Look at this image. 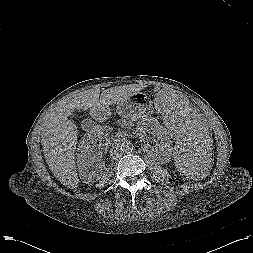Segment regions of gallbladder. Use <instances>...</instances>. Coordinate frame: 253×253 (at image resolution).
Here are the masks:
<instances>
[{
  "mask_svg": "<svg viewBox=\"0 0 253 253\" xmlns=\"http://www.w3.org/2000/svg\"><path fill=\"white\" fill-rule=\"evenodd\" d=\"M88 120H83L82 122H81V126L84 128V125H85V123L87 122Z\"/></svg>",
  "mask_w": 253,
  "mask_h": 253,
  "instance_id": "bac80fb5",
  "label": "gallbladder"
}]
</instances>
